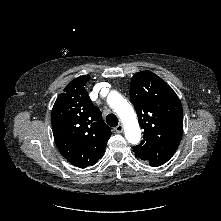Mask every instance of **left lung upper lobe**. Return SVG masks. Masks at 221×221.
<instances>
[{
	"instance_id": "5c2ea615",
	"label": "left lung upper lobe",
	"mask_w": 221,
	"mask_h": 221,
	"mask_svg": "<svg viewBox=\"0 0 221 221\" xmlns=\"http://www.w3.org/2000/svg\"><path fill=\"white\" fill-rule=\"evenodd\" d=\"M130 99L144 130L143 140L133 151L151 166H161L173 156L182 138L181 102L174 90L150 71L133 75Z\"/></svg>"
}]
</instances>
